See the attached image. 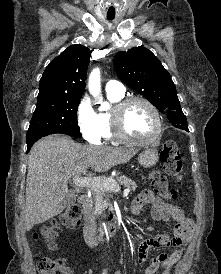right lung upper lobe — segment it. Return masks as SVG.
Wrapping results in <instances>:
<instances>
[{
    "mask_svg": "<svg viewBox=\"0 0 221 274\" xmlns=\"http://www.w3.org/2000/svg\"><path fill=\"white\" fill-rule=\"evenodd\" d=\"M90 50L80 44L69 46L54 58L40 79L38 99L81 97Z\"/></svg>",
    "mask_w": 221,
    "mask_h": 274,
    "instance_id": "1",
    "label": "right lung upper lobe"
}]
</instances>
